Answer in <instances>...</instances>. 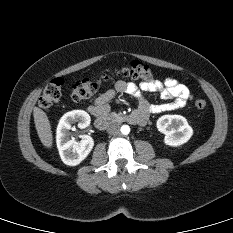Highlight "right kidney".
Instances as JSON below:
<instances>
[{"label": "right kidney", "mask_w": 233, "mask_h": 233, "mask_svg": "<svg viewBox=\"0 0 233 233\" xmlns=\"http://www.w3.org/2000/svg\"><path fill=\"white\" fill-rule=\"evenodd\" d=\"M90 116L83 110H73L65 113L57 126L56 143L62 161L69 166H76L91 152L94 140L89 135H83L80 142L70 138L69 130L72 124L78 122V127L84 129L90 125Z\"/></svg>", "instance_id": "ca27d5eb"}]
</instances>
